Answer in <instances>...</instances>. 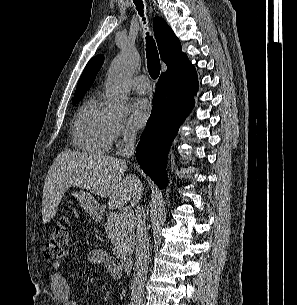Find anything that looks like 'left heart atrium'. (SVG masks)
<instances>
[{
    "label": "left heart atrium",
    "instance_id": "obj_1",
    "mask_svg": "<svg viewBox=\"0 0 297 305\" xmlns=\"http://www.w3.org/2000/svg\"><path fill=\"white\" fill-rule=\"evenodd\" d=\"M152 114V104L146 98L136 99L130 107L131 123L137 127H143Z\"/></svg>",
    "mask_w": 297,
    "mask_h": 305
}]
</instances>
